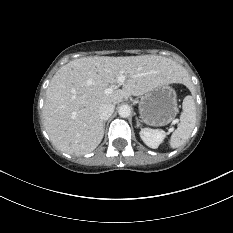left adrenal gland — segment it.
<instances>
[{
	"label": "left adrenal gland",
	"mask_w": 233,
	"mask_h": 233,
	"mask_svg": "<svg viewBox=\"0 0 233 233\" xmlns=\"http://www.w3.org/2000/svg\"><path fill=\"white\" fill-rule=\"evenodd\" d=\"M136 123H137V125H136L137 127L141 126L138 117H136Z\"/></svg>",
	"instance_id": "obj_1"
}]
</instances>
